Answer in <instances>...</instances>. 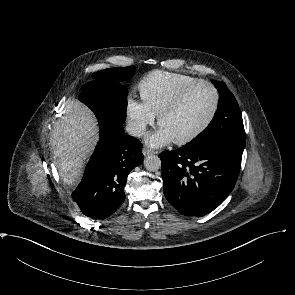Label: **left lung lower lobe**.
<instances>
[{"instance_id": "0a47b994", "label": "left lung lower lobe", "mask_w": 295, "mask_h": 295, "mask_svg": "<svg viewBox=\"0 0 295 295\" xmlns=\"http://www.w3.org/2000/svg\"><path fill=\"white\" fill-rule=\"evenodd\" d=\"M163 192L181 214L204 216L233 190L242 153L223 146L185 147L160 153Z\"/></svg>"}]
</instances>
